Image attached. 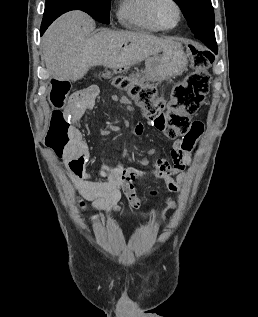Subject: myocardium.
Segmentation results:
<instances>
[{
	"label": "myocardium",
	"mask_w": 258,
	"mask_h": 317,
	"mask_svg": "<svg viewBox=\"0 0 258 317\" xmlns=\"http://www.w3.org/2000/svg\"><path fill=\"white\" fill-rule=\"evenodd\" d=\"M165 1L172 2L175 5L176 10H177V18H176V21L172 25H164V24H162L159 21L157 15H156V11H157L158 6L161 3L165 2ZM151 17H152V20L154 21V23L156 24V26L159 29H161V30L173 29V28H175L178 25V23L180 22V19H181V8H180V5H179L178 1H176V0H156L154 5H153V7H152V10H151Z\"/></svg>",
	"instance_id": "myocardium-1"
}]
</instances>
